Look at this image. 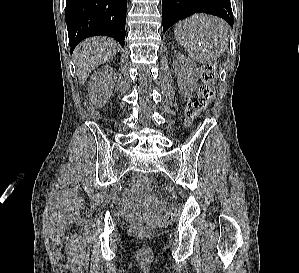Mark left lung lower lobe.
Returning <instances> with one entry per match:
<instances>
[{
  "mask_svg": "<svg viewBox=\"0 0 299 273\" xmlns=\"http://www.w3.org/2000/svg\"><path fill=\"white\" fill-rule=\"evenodd\" d=\"M195 13L219 16L233 27L230 0H162L163 32L176 22Z\"/></svg>",
  "mask_w": 299,
  "mask_h": 273,
  "instance_id": "1",
  "label": "left lung lower lobe"
}]
</instances>
